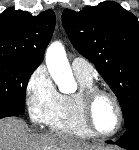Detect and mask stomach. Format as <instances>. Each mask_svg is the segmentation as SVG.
I'll return each instance as SVG.
<instances>
[{"instance_id":"stomach-1","label":"stomach","mask_w":139,"mask_h":150,"mask_svg":"<svg viewBox=\"0 0 139 150\" xmlns=\"http://www.w3.org/2000/svg\"><path fill=\"white\" fill-rule=\"evenodd\" d=\"M98 150H107V149H102V148H100V149H98Z\"/></svg>"}]
</instances>
